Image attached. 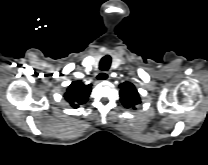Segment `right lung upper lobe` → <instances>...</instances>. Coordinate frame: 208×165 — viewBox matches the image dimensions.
<instances>
[{"label":"right lung upper lobe","instance_id":"right-lung-upper-lobe-1","mask_svg":"<svg viewBox=\"0 0 208 165\" xmlns=\"http://www.w3.org/2000/svg\"><path fill=\"white\" fill-rule=\"evenodd\" d=\"M91 93V84L84 85L81 81H74L67 88L64 94L65 99L71 104L72 107L78 108L80 105L85 104Z\"/></svg>","mask_w":208,"mask_h":165}]
</instances>
